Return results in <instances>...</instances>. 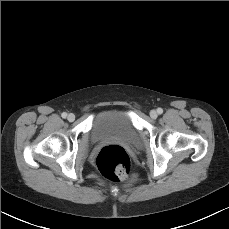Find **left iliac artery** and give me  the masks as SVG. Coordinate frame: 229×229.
<instances>
[{
    "label": "left iliac artery",
    "mask_w": 229,
    "mask_h": 229,
    "mask_svg": "<svg viewBox=\"0 0 229 229\" xmlns=\"http://www.w3.org/2000/svg\"><path fill=\"white\" fill-rule=\"evenodd\" d=\"M157 113H158V114H162V113H163V109H162V108H158V109H157Z\"/></svg>",
    "instance_id": "1"
}]
</instances>
